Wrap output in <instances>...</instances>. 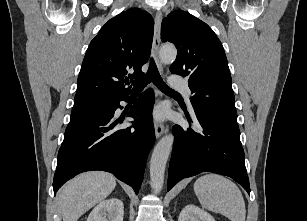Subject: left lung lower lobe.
I'll return each instance as SVG.
<instances>
[{
	"instance_id": "1",
	"label": "left lung lower lobe",
	"mask_w": 307,
	"mask_h": 221,
	"mask_svg": "<svg viewBox=\"0 0 307 221\" xmlns=\"http://www.w3.org/2000/svg\"><path fill=\"white\" fill-rule=\"evenodd\" d=\"M197 130L173 127L175 142L169 164L168 190L183 178L201 172L229 176L250 193L239 127L211 113L194 109ZM187 119L192 124L189 115Z\"/></svg>"
}]
</instances>
